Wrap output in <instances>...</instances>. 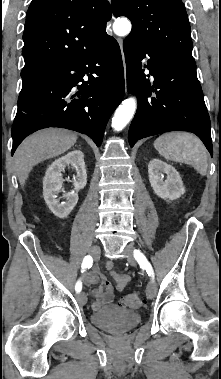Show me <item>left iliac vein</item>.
<instances>
[{"mask_svg": "<svg viewBox=\"0 0 221 379\" xmlns=\"http://www.w3.org/2000/svg\"><path fill=\"white\" fill-rule=\"evenodd\" d=\"M134 251V247L132 245H128L125 248V253L128 254L127 256V261L130 265L134 266L136 265V260L135 258L131 255V253ZM157 293V286L156 283L153 280H150L147 284L146 288V296L148 299L154 298V296Z\"/></svg>", "mask_w": 221, "mask_h": 379, "instance_id": "left-iliac-vein-1", "label": "left iliac vein"}]
</instances>
